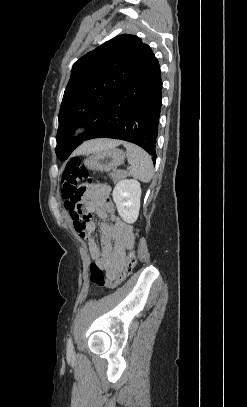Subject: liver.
Segmentation results:
<instances>
[{"label":"liver","mask_w":247,"mask_h":407,"mask_svg":"<svg viewBox=\"0 0 247 407\" xmlns=\"http://www.w3.org/2000/svg\"><path fill=\"white\" fill-rule=\"evenodd\" d=\"M122 142L120 140H112V139H97L85 142L81 145L77 150L75 155H85L91 154L93 152H97L103 149L114 148L120 145Z\"/></svg>","instance_id":"liver-1"}]
</instances>
